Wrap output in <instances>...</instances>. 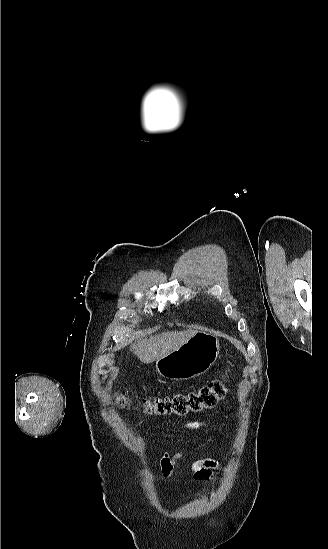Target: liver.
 Wrapping results in <instances>:
<instances>
[{"mask_svg":"<svg viewBox=\"0 0 328 549\" xmlns=\"http://www.w3.org/2000/svg\"><path fill=\"white\" fill-rule=\"evenodd\" d=\"M151 331H138L134 335L135 343L131 345V351L140 359L141 363H153L161 357H166L175 349H179L188 339H191L197 329L187 331H172V333H161V335H150ZM142 335H150L149 339H142ZM137 341V343H136Z\"/></svg>","mask_w":328,"mask_h":549,"instance_id":"obj_1","label":"liver"}]
</instances>
